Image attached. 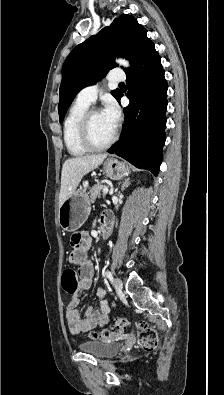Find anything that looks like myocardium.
Masks as SVG:
<instances>
[{"label":"myocardium","instance_id":"obj_1","mask_svg":"<svg viewBox=\"0 0 224 395\" xmlns=\"http://www.w3.org/2000/svg\"><path fill=\"white\" fill-rule=\"evenodd\" d=\"M96 112H100V109H98L96 107L88 108L86 110V112L83 114V116L80 120V124H79V136H80L81 143L84 145V147L87 150H90V151L105 150L108 147H110L117 140V137H118V127L116 126L113 135L107 142H105L103 144H96L92 140L91 135H90V121H91L92 115Z\"/></svg>","mask_w":224,"mask_h":395}]
</instances>
